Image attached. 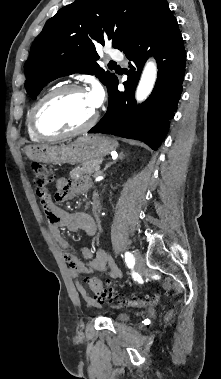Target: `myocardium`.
Segmentation results:
<instances>
[{
    "label": "myocardium",
    "mask_w": 221,
    "mask_h": 379,
    "mask_svg": "<svg viewBox=\"0 0 221 379\" xmlns=\"http://www.w3.org/2000/svg\"><path fill=\"white\" fill-rule=\"evenodd\" d=\"M69 92H84L86 93L85 89L77 84H66L62 85L59 87H56L49 92H47L34 106L32 113H31V126L33 131L37 136H39L42 139H49V140H54V139H60V138H65L69 136H73L79 133H82L88 129H90L98 120L99 118V113L97 110H95L94 114L92 117L83 125L68 130L64 132H59V133H46L44 132L40 126H39V115L41 110L44 108V106L49 103L51 100L54 98L61 96L63 94L69 93Z\"/></svg>",
    "instance_id": "1"
}]
</instances>
